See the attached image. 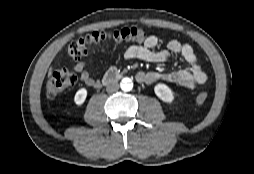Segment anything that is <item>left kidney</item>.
<instances>
[{
	"mask_svg": "<svg viewBox=\"0 0 254 174\" xmlns=\"http://www.w3.org/2000/svg\"><path fill=\"white\" fill-rule=\"evenodd\" d=\"M154 92L164 102L172 103L174 100L173 92L166 84L159 83L155 85Z\"/></svg>",
	"mask_w": 254,
	"mask_h": 174,
	"instance_id": "obj_1",
	"label": "left kidney"
}]
</instances>
